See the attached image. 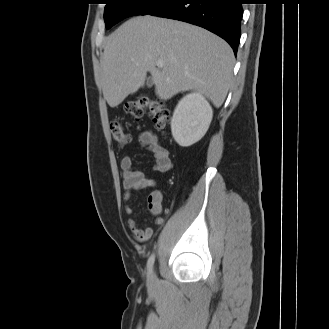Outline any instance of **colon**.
<instances>
[{
	"label": "colon",
	"instance_id": "obj_1",
	"mask_svg": "<svg viewBox=\"0 0 329 329\" xmlns=\"http://www.w3.org/2000/svg\"><path fill=\"white\" fill-rule=\"evenodd\" d=\"M125 113L136 121H140L145 114L152 119L160 129H165L170 122L169 108L160 100L151 99L146 95H139L135 99L125 103ZM110 129L114 140L121 146L130 142V136L119 122H112Z\"/></svg>",
	"mask_w": 329,
	"mask_h": 329
}]
</instances>
